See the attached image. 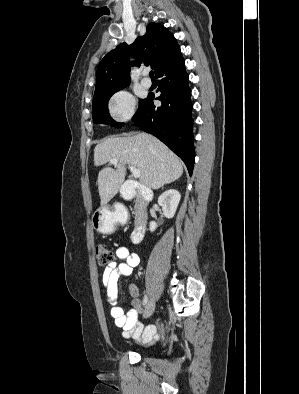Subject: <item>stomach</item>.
I'll return each instance as SVG.
<instances>
[{
	"label": "stomach",
	"instance_id": "obj_1",
	"mask_svg": "<svg viewBox=\"0 0 299 394\" xmlns=\"http://www.w3.org/2000/svg\"><path fill=\"white\" fill-rule=\"evenodd\" d=\"M118 221L117 212L112 211L109 206L98 208L92 215V227L102 234L113 233Z\"/></svg>",
	"mask_w": 299,
	"mask_h": 394
}]
</instances>
